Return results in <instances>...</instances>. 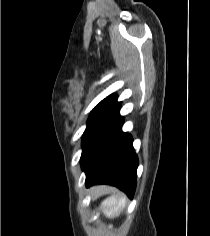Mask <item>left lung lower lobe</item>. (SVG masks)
Here are the masks:
<instances>
[{"label":"left lung lower lobe","instance_id":"obj_1","mask_svg":"<svg viewBox=\"0 0 210 236\" xmlns=\"http://www.w3.org/2000/svg\"><path fill=\"white\" fill-rule=\"evenodd\" d=\"M121 104L115 101L88 124L82 138L81 167L86 186L110 184L130 198L136 188L138 158L130 135L121 131Z\"/></svg>","mask_w":210,"mask_h":236}]
</instances>
